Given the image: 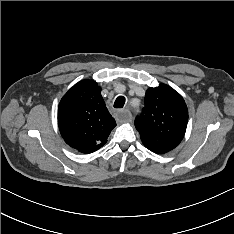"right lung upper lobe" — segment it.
Masks as SVG:
<instances>
[{
	"label": "right lung upper lobe",
	"instance_id": "obj_1",
	"mask_svg": "<svg viewBox=\"0 0 234 234\" xmlns=\"http://www.w3.org/2000/svg\"><path fill=\"white\" fill-rule=\"evenodd\" d=\"M58 125L64 141L82 151L100 148L116 126L95 81L82 80L61 99Z\"/></svg>",
	"mask_w": 234,
	"mask_h": 234
}]
</instances>
